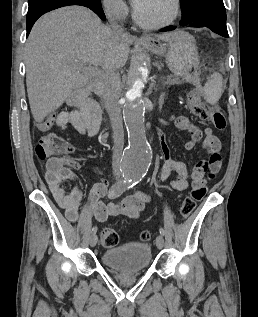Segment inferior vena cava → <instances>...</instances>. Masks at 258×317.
I'll return each instance as SVG.
<instances>
[{
	"label": "inferior vena cava",
	"instance_id": "1",
	"mask_svg": "<svg viewBox=\"0 0 258 317\" xmlns=\"http://www.w3.org/2000/svg\"><path fill=\"white\" fill-rule=\"evenodd\" d=\"M108 16L110 20L109 26H111L112 32H123L120 24L116 22L114 14L108 6ZM105 76L103 80L102 88V100L105 104V108L110 116V122L112 126V138L114 142L113 154H112V169L114 171V176L121 177V172H118L120 169V161L122 156V150L124 146V130L121 114L120 104H116V96H120L117 92L118 86H120V78L118 72L115 70V66H107L104 68ZM116 173V174H115Z\"/></svg>",
	"mask_w": 258,
	"mask_h": 317
}]
</instances>
